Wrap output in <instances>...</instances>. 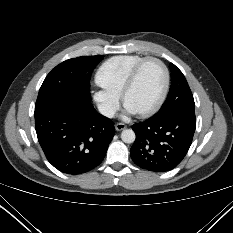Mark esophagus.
Returning a JSON list of instances; mask_svg holds the SVG:
<instances>
[{"instance_id":"1","label":"esophagus","mask_w":233,"mask_h":233,"mask_svg":"<svg viewBox=\"0 0 233 233\" xmlns=\"http://www.w3.org/2000/svg\"><path fill=\"white\" fill-rule=\"evenodd\" d=\"M126 127H127V126H126L125 124H123V123H117V124L115 125V129H116L117 131H122V130H124Z\"/></svg>"}]
</instances>
